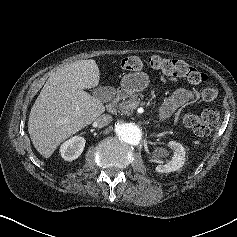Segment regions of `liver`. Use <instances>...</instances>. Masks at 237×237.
Instances as JSON below:
<instances>
[{
    "label": "liver",
    "mask_w": 237,
    "mask_h": 237,
    "mask_svg": "<svg viewBox=\"0 0 237 237\" xmlns=\"http://www.w3.org/2000/svg\"><path fill=\"white\" fill-rule=\"evenodd\" d=\"M99 68L93 59L72 62L46 81L28 121V133L36 150L49 158L65 139L90 125L104 111L99 98L84 89L98 86Z\"/></svg>",
    "instance_id": "liver-1"
}]
</instances>
